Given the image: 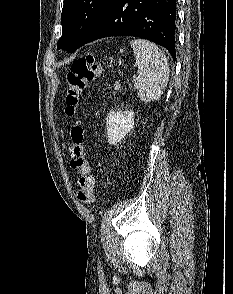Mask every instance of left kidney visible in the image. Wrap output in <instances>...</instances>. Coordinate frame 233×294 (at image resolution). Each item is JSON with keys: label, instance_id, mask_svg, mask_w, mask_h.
<instances>
[{"label": "left kidney", "instance_id": "left-kidney-1", "mask_svg": "<svg viewBox=\"0 0 233 294\" xmlns=\"http://www.w3.org/2000/svg\"><path fill=\"white\" fill-rule=\"evenodd\" d=\"M107 138L110 144L121 142L134 128L133 111H110L106 119Z\"/></svg>", "mask_w": 233, "mask_h": 294}]
</instances>
